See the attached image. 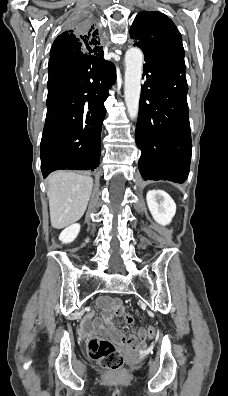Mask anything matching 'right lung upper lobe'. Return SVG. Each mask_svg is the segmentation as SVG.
<instances>
[{
  "mask_svg": "<svg viewBox=\"0 0 228 396\" xmlns=\"http://www.w3.org/2000/svg\"><path fill=\"white\" fill-rule=\"evenodd\" d=\"M92 26H80L59 35L51 48L49 71H54L50 64L56 59H70L76 56L103 58L97 30Z\"/></svg>",
  "mask_w": 228,
  "mask_h": 396,
  "instance_id": "obj_1",
  "label": "right lung upper lobe"
}]
</instances>
